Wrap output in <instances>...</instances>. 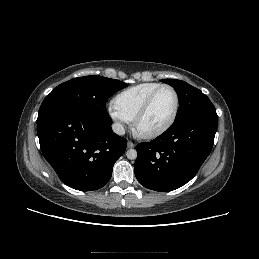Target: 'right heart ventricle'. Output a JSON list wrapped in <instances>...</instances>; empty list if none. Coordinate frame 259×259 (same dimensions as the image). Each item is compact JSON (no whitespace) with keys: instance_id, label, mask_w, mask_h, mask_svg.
I'll return each instance as SVG.
<instances>
[{"instance_id":"obj_1","label":"right heart ventricle","mask_w":259,"mask_h":259,"mask_svg":"<svg viewBox=\"0 0 259 259\" xmlns=\"http://www.w3.org/2000/svg\"><path fill=\"white\" fill-rule=\"evenodd\" d=\"M159 85L145 82L128 87L114 97L113 105L128 121H133L149 94Z\"/></svg>"}]
</instances>
